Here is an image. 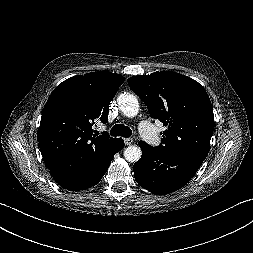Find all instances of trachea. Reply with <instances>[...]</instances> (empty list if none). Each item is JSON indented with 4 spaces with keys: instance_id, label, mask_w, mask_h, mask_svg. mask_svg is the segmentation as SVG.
I'll list each match as a JSON object with an SVG mask.
<instances>
[{
    "instance_id": "trachea-1",
    "label": "trachea",
    "mask_w": 253,
    "mask_h": 253,
    "mask_svg": "<svg viewBox=\"0 0 253 253\" xmlns=\"http://www.w3.org/2000/svg\"><path fill=\"white\" fill-rule=\"evenodd\" d=\"M111 136H122L128 138L132 134V130L123 124H116L110 131Z\"/></svg>"
}]
</instances>
